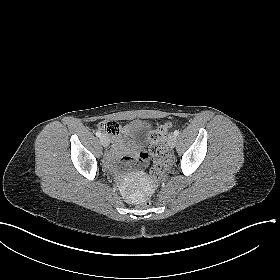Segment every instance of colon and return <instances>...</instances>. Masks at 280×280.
<instances>
[{
    "instance_id": "1",
    "label": "colon",
    "mask_w": 280,
    "mask_h": 280,
    "mask_svg": "<svg viewBox=\"0 0 280 280\" xmlns=\"http://www.w3.org/2000/svg\"><path fill=\"white\" fill-rule=\"evenodd\" d=\"M99 128L109 134V135H117L120 131V127L115 121H106L102 122ZM169 125H161L156 129L152 130L149 133V140L152 143V152H153V165L150 170V174L156 178H160L163 176L165 171L168 168L169 164V156L166 150V146L164 143V138L166 136ZM152 206V201L150 198H146L139 203L140 208H149Z\"/></svg>"
}]
</instances>
